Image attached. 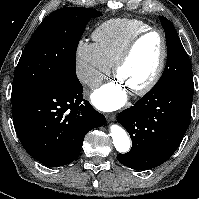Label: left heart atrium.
Returning a JSON list of instances; mask_svg holds the SVG:
<instances>
[{
  "instance_id": "obj_1",
  "label": "left heart atrium",
  "mask_w": 199,
  "mask_h": 199,
  "mask_svg": "<svg viewBox=\"0 0 199 199\" xmlns=\"http://www.w3.org/2000/svg\"><path fill=\"white\" fill-rule=\"evenodd\" d=\"M93 104L102 111H114L122 107L127 100V91L120 81L109 82L91 95Z\"/></svg>"
}]
</instances>
